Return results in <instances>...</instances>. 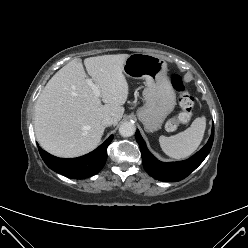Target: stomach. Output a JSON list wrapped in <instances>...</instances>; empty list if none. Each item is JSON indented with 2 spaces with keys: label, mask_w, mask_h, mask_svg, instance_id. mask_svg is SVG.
I'll list each match as a JSON object with an SVG mask.
<instances>
[{
  "label": "stomach",
  "mask_w": 248,
  "mask_h": 248,
  "mask_svg": "<svg viewBox=\"0 0 248 248\" xmlns=\"http://www.w3.org/2000/svg\"><path fill=\"white\" fill-rule=\"evenodd\" d=\"M123 72L134 79H145V104L138 109L137 116L147 132L157 131L176 104L166 62L157 55L134 53L126 59Z\"/></svg>",
  "instance_id": "obj_1"
}]
</instances>
